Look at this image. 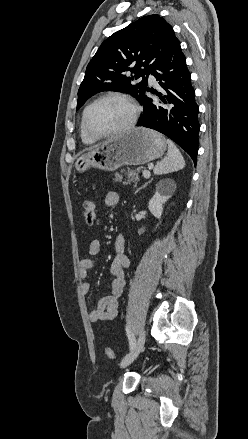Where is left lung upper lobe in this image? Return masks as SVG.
<instances>
[{
  "label": "left lung upper lobe",
  "mask_w": 248,
  "mask_h": 439,
  "mask_svg": "<svg viewBox=\"0 0 248 439\" xmlns=\"http://www.w3.org/2000/svg\"><path fill=\"white\" fill-rule=\"evenodd\" d=\"M176 41L171 25L157 14L142 17L112 34L101 44L86 68L76 109L101 91L127 93L141 101L148 75L153 73ZM127 71L134 76H128ZM139 77H143L142 81L133 85L132 81Z\"/></svg>",
  "instance_id": "5c2ea615"
}]
</instances>
